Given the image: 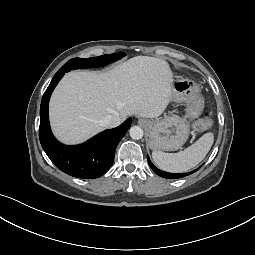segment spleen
Instances as JSON below:
<instances>
[{"mask_svg":"<svg viewBox=\"0 0 255 255\" xmlns=\"http://www.w3.org/2000/svg\"><path fill=\"white\" fill-rule=\"evenodd\" d=\"M214 142L213 133H205L194 144L178 153H164L153 151L152 158L162 170L181 173L198 165L209 152Z\"/></svg>","mask_w":255,"mask_h":255,"instance_id":"spleen-1","label":"spleen"}]
</instances>
